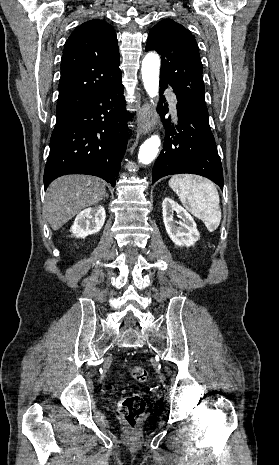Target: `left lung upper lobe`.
Instances as JSON below:
<instances>
[{
    "instance_id": "obj_1",
    "label": "left lung upper lobe",
    "mask_w": 279,
    "mask_h": 465,
    "mask_svg": "<svg viewBox=\"0 0 279 465\" xmlns=\"http://www.w3.org/2000/svg\"><path fill=\"white\" fill-rule=\"evenodd\" d=\"M145 50H157L162 57L160 81L171 86L183 103L208 117L202 62L191 33L171 19L162 20L150 30Z\"/></svg>"
}]
</instances>
